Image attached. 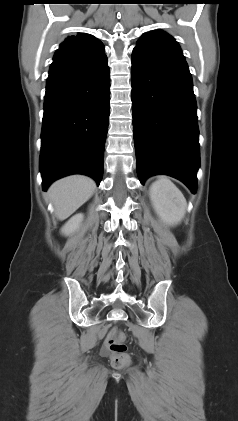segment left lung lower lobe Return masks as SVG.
I'll return each mask as SVG.
<instances>
[{
  "mask_svg": "<svg viewBox=\"0 0 238 421\" xmlns=\"http://www.w3.org/2000/svg\"><path fill=\"white\" fill-rule=\"evenodd\" d=\"M132 112L139 180L166 174L196 192L200 166L196 100L181 54L132 52Z\"/></svg>",
  "mask_w": 238,
  "mask_h": 421,
  "instance_id": "obj_1",
  "label": "left lung lower lobe"
}]
</instances>
